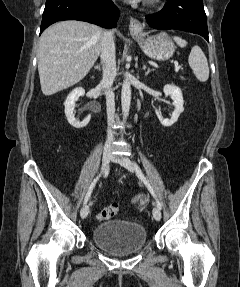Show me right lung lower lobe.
Here are the masks:
<instances>
[{
  "instance_id": "obj_1",
  "label": "right lung lower lobe",
  "mask_w": 240,
  "mask_h": 287,
  "mask_svg": "<svg viewBox=\"0 0 240 287\" xmlns=\"http://www.w3.org/2000/svg\"><path fill=\"white\" fill-rule=\"evenodd\" d=\"M118 18L119 11L112 0H46L40 34L61 20H81L112 28Z\"/></svg>"
}]
</instances>
